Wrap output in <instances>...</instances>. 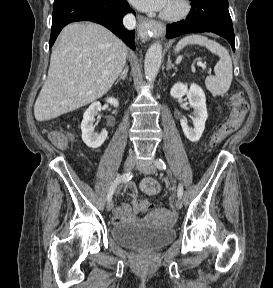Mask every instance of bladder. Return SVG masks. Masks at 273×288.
<instances>
[{
  "label": "bladder",
  "instance_id": "bladder-1",
  "mask_svg": "<svg viewBox=\"0 0 273 288\" xmlns=\"http://www.w3.org/2000/svg\"><path fill=\"white\" fill-rule=\"evenodd\" d=\"M110 237L113 243L120 248L150 252L173 242L176 233L173 228L133 222L112 226Z\"/></svg>",
  "mask_w": 273,
  "mask_h": 288
}]
</instances>
